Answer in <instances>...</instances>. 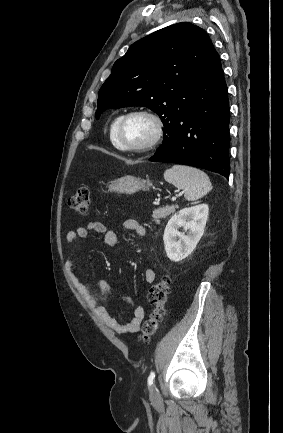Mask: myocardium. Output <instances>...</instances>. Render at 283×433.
Wrapping results in <instances>:
<instances>
[{
    "label": "myocardium",
    "instance_id": "obj_1",
    "mask_svg": "<svg viewBox=\"0 0 283 433\" xmlns=\"http://www.w3.org/2000/svg\"><path fill=\"white\" fill-rule=\"evenodd\" d=\"M135 115H144L149 117L155 123V127H156L155 134L152 137V139L147 143L136 145V146L126 145L123 143L121 138L122 128L125 122L127 121V119ZM164 134H165V121L158 112L148 108H137V109H132L122 115L115 129V140L119 149L122 151L134 152V153H149L154 151L159 146V144L164 138Z\"/></svg>",
    "mask_w": 283,
    "mask_h": 433
}]
</instances>
